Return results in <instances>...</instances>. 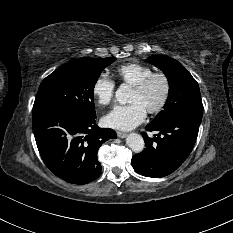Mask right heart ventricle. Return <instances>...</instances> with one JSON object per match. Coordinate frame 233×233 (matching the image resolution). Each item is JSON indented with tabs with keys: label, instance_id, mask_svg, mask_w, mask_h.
<instances>
[{
	"label": "right heart ventricle",
	"instance_id": "obj_1",
	"mask_svg": "<svg viewBox=\"0 0 233 233\" xmlns=\"http://www.w3.org/2000/svg\"><path fill=\"white\" fill-rule=\"evenodd\" d=\"M154 70L140 63H127L117 68L116 73L122 83L134 87L144 78L152 74Z\"/></svg>",
	"mask_w": 233,
	"mask_h": 233
}]
</instances>
